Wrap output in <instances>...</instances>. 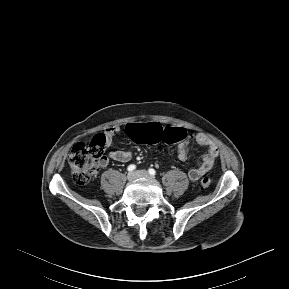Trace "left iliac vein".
Returning a JSON list of instances; mask_svg holds the SVG:
<instances>
[{"label":"left iliac vein","mask_w":289,"mask_h":289,"mask_svg":"<svg viewBox=\"0 0 289 289\" xmlns=\"http://www.w3.org/2000/svg\"><path fill=\"white\" fill-rule=\"evenodd\" d=\"M137 177H146V178H152L151 175L146 170H138L136 171Z\"/></svg>","instance_id":"1"}]
</instances>
